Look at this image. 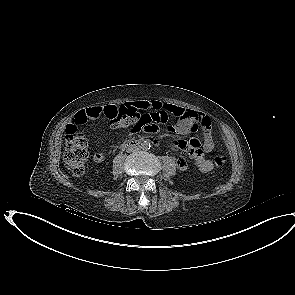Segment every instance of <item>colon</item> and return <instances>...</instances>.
Returning <instances> with one entry per match:
<instances>
[{
    "instance_id": "5ec220e1",
    "label": "colon",
    "mask_w": 295,
    "mask_h": 295,
    "mask_svg": "<svg viewBox=\"0 0 295 295\" xmlns=\"http://www.w3.org/2000/svg\"><path fill=\"white\" fill-rule=\"evenodd\" d=\"M103 115L116 127H130L133 133H155L159 125L166 121L167 115L160 113H144L138 115V110L129 105L102 107ZM87 158V141L84 135L75 127L68 126L65 136L64 161L75 176H80L85 171ZM212 159L217 167L226 163V157L218 152L212 154Z\"/></svg>"
}]
</instances>
